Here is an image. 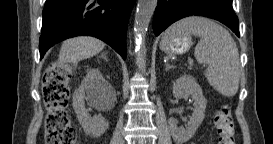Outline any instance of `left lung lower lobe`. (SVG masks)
<instances>
[{"label":"left lung lower lobe","instance_id":"1","mask_svg":"<svg viewBox=\"0 0 273 144\" xmlns=\"http://www.w3.org/2000/svg\"><path fill=\"white\" fill-rule=\"evenodd\" d=\"M190 15L216 19L239 37V21L232 0H158L153 31L157 36L175 21Z\"/></svg>","mask_w":273,"mask_h":144}]
</instances>
